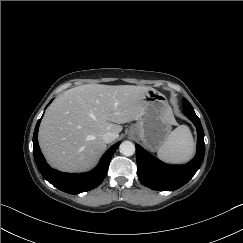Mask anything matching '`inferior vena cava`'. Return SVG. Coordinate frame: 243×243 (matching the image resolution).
<instances>
[{
	"mask_svg": "<svg viewBox=\"0 0 243 243\" xmlns=\"http://www.w3.org/2000/svg\"><path fill=\"white\" fill-rule=\"evenodd\" d=\"M102 139L105 143H110L116 139V134L113 132H106L103 134Z\"/></svg>",
	"mask_w": 243,
	"mask_h": 243,
	"instance_id": "inferior-vena-cava-1",
	"label": "inferior vena cava"
}]
</instances>
